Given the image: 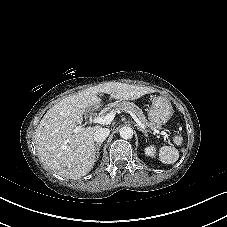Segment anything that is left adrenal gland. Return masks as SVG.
Wrapping results in <instances>:
<instances>
[{
  "label": "left adrenal gland",
  "mask_w": 227,
  "mask_h": 227,
  "mask_svg": "<svg viewBox=\"0 0 227 227\" xmlns=\"http://www.w3.org/2000/svg\"><path fill=\"white\" fill-rule=\"evenodd\" d=\"M137 129L139 130V131H141L142 133H144V135L146 136V137H148V130H146V129H143V128H141V127H137Z\"/></svg>",
  "instance_id": "left-adrenal-gland-1"
}]
</instances>
